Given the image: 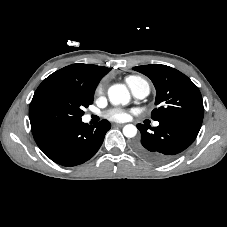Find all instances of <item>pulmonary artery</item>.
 Masks as SVG:
<instances>
[{"label":"pulmonary artery","instance_id":"pulmonary-artery-1","mask_svg":"<svg viewBox=\"0 0 227 227\" xmlns=\"http://www.w3.org/2000/svg\"><path fill=\"white\" fill-rule=\"evenodd\" d=\"M129 87H130V90H131L133 96L137 99L145 98L149 94V91H150L149 86L146 82H138ZM155 125L158 126L159 123L156 122Z\"/></svg>","mask_w":227,"mask_h":227}]
</instances>
